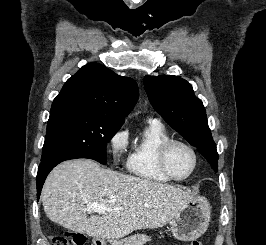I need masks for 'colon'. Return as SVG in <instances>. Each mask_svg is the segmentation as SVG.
I'll return each instance as SVG.
<instances>
[{"label": "colon", "instance_id": "5ec220e1", "mask_svg": "<svg viewBox=\"0 0 266 245\" xmlns=\"http://www.w3.org/2000/svg\"><path fill=\"white\" fill-rule=\"evenodd\" d=\"M84 242V235L78 232H66L64 236L53 235L51 237V245H84ZM191 245H201V243L198 240H194Z\"/></svg>", "mask_w": 266, "mask_h": 245}]
</instances>
